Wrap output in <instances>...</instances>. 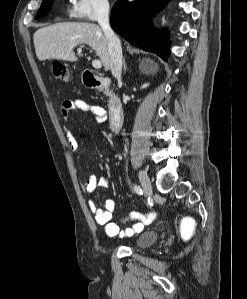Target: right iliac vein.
Listing matches in <instances>:
<instances>
[{
  "label": "right iliac vein",
  "mask_w": 247,
  "mask_h": 299,
  "mask_svg": "<svg viewBox=\"0 0 247 299\" xmlns=\"http://www.w3.org/2000/svg\"><path fill=\"white\" fill-rule=\"evenodd\" d=\"M139 180H140V183H141L146 195L148 197H151V195H152V185H151V182H150V179H149L148 175L144 171L139 172Z\"/></svg>",
  "instance_id": "right-iliac-vein-1"
}]
</instances>
